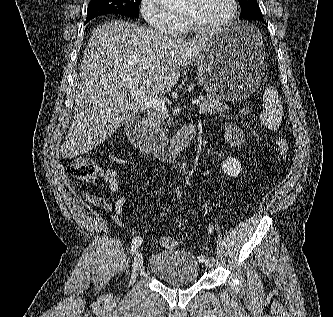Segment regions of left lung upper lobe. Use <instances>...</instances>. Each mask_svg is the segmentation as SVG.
Segmentation results:
<instances>
[{
  "mask_svg": "<svg viewBox=\"0 0 333 317\" xmlns=\"http://www.w3.org/2000/svg\"><path fill=\"white\" fill-rule=\"evenodd\" d=\"M241 5V19L263 20L260 7L256 0H238Z\"/></svg>",
  "mask_w": 333,
  "mask_h": 317,
  "instance_id": "5c2ea615",
  "label": "left lung upper lobe"
}]
</instances>
